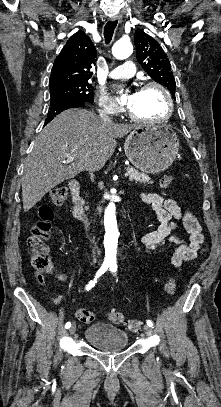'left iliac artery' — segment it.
<instances>
[{
    "label": "left iliac artery",
    "mask_w": 221,
    "mask_h": 407,
    "mask_svg": "<svg viewBox=\"0 0 221 407\" xmlns=\"http://www.w3.org/2000/svg\"><path fill=\"white\" fill-rule=\"evenodd\" d=\"M110 271L115 273L117 271V264L113 263L110 265ZM147 325L153 327V322L151 320H147Z\"/></svg>",
    "instance_id": "left-iliac-artery-1"
}]
</instances>
